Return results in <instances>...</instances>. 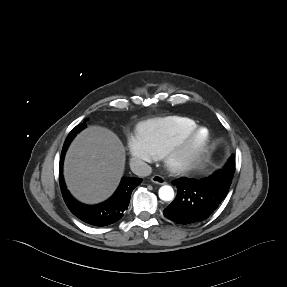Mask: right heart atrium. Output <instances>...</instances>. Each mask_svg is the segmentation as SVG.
Here are the masks:
<instances>
[{
    "label": "right heart atrium",
    "instance_id": "1",
    "mask_svg": "<svg viewBox=\"0 0 287 287\" xmlns=\"http://www.w3.org/2000/svg\"><path fill=\"white\" fill-rule=\"evenodd\" d=\"M129 150L132 160L136 164L153 162L157 155L145 136L138 134L129 142Z\"/></svg>",
    "mask_w": 287,
    "mask_h": 287
}]
</instances>
